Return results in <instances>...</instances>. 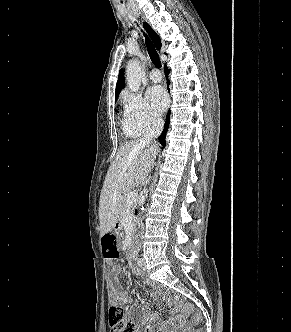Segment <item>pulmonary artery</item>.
I'll use <instances>...</instances> for the list:
<instances>
[{
  "mask_svg": "<svg viewBox=\"0 0 291 332\" xmlns=\"http://www.w3.org/2000/svg\"><path fill=\"white\" fill-rule=\"evenodd\" d=\"M149 78L152 82H160L162 79V76L158 70L153 69L149 74Z\"/></svg>",
  "mask_w": 291,
  "mask_h": 332,
  "instance_id": "1",
  "label": "pulmonary artery"
}]
</instances>
